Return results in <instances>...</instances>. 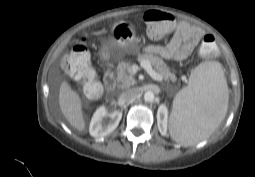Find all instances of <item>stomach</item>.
<instances>
[{
  "mask_svg": "<svg viewBox=\"0 0 255 177\" xmlns=\"http://www.w3.org/2000/svg\"><path fill=\"white\" fill-rule=\"evenodd\" d=\"M104 51L115 58L136 53L138 51V44L135 27L126 21L115 23L104 45Z\"/></svg>",
  "mask_w": 255,
  "mask_h": 177,
  "instance_id": "0dacf381",
  "label": "stomach"
}]
</instances>
